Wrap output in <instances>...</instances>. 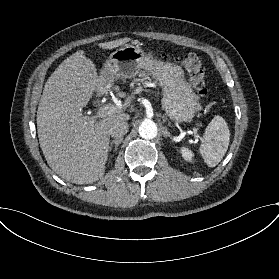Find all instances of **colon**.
I'll return each instance as SVG.
<instances>
[{
	"label": "colon",
	"mask_w": 279,
	"mask_h": 279,
	"mask_svg": "<svg viewBox=\"0 0 279 279\" xmlns=\"http://www.w3.org/2000/svg\"><path fill=\"white\" fill-rule=\"evenodd\" d=\"M159 57L166 58L162 54ZM178 63L188 70L191 86L196 93L201 96L206 95L208 92L207 80L200 58L195 53H187L183 58L178 60Z\"/></svg>",
	"instance_id": "5ec220e1"
}]
</instances>
